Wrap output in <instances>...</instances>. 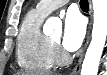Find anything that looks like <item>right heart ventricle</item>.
<instances>
[{"instance_id":"right-heart-ventricle-1","label":"right heart ventricle","mask_w":107,"mask_h":75,"mask_svg":"<svg viewBox=\"0 0 107 75\" xmlns=\"http://www.w3.org/2000/svg\"><path fill=\"white\" fill-rule=\"evenodd\" d=\"M44 15L36 10L24 18L17 38L16 56L18 65L31 72H47L55 66L50 39L41 31Z\"/></svg>"}]
</instances>
